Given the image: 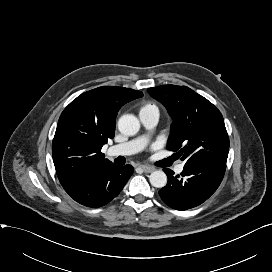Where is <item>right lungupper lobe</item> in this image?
Segmentation results:
<instances>
[{
    "label": "right lung upper lobe",
    "instance_id": "1",
    "mask_svg": "<svg viewBox=\"0 0 272 272\" xmlns=\"http://www.w3.org/2000/svg\"><path fill=\"white\" fill-rule=\"evenodd\" d=\"M142 96L133 89L102 86L81 94L64 109L52 142L53 162L64 189L112 163L101 148L114 137L119 109Z\"/></svg>",
    "mask_w": 272,
    "mask_h": 272
}]
</instances>
